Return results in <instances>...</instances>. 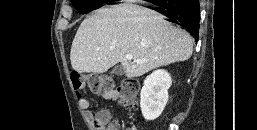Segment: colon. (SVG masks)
<instances>
[{"instance_id":"colon-1","label":"colon","mask_w":257,"mask_h":130,"mask_svg":"<svg viewBox=\"0 0 257 130\" xmlns=\"http://www.w3.org/2000/svg\"><path fill=\"white\" fill-rule=\"evenodd\" d=\"M71 81L78 97H82L84 90L87 88L92 93L116 99L120 105L129 110L137 108L140 85L136 79H126L119 86H116L114 78L110 75L73 72ZM94 125L98 130L106 129L105 127L118 130L115 122L105 123L97 117L94 120Z\"/></svg>"}]
</instances>
